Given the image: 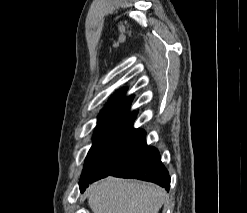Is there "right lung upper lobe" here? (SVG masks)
Listing matches in <instances>:
<instances>
[{"mask_svg": "<svg viewBox=\"0 0 247 213\" xmlns=\"http://www.w3.org/2000/svg\"><path fill=\"white\" fill-rule=\"evenodd\" d=\"M126 92V88H123L119 91H117L108 101L105 108L102 109V114H106L112 111L116 110H124L129 109L131 102L133 100V97H127L124 98V94Z\"/></svg>", "mask_w": 247, "mask_h": 213, "instance_id": "cb5924a9", "label": "right lung upper lobe"}]
</instances>
